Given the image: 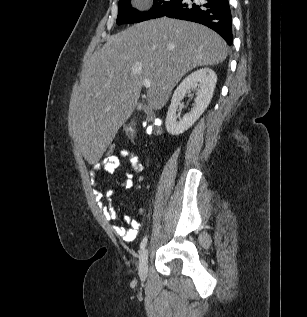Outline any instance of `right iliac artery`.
I'll return each instance as SVG.
<instances>
[{
    "label": "right iliac artery",
    "instance_id": "obj_1",
    "mask_svg": "<svg viewBox=\"0 0 307 317\" xmlns=\"http://www.w3.org/2000/svg\"><path fill=\"white\" fill-rule=\"evenodd\" d=\"M147 240H148V238H147V236H145V237L143 238V240L141 241L140 250H143V249L145 248V246H146V244H147Z\"/></svg>",
    "mask_w": 307,
    "mask_h": 317
}]
</instances>
